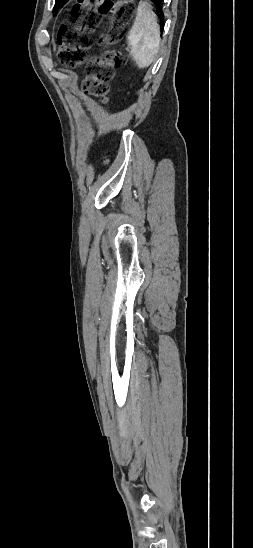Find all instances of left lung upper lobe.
<instances>
[{"label":"left lung upper lobe","mask_w":253,"mask_h":548,"mask_svg":"<svg viewBox=\"0 0 253 548\" xmlns=\"http://www.w3.org/2000/svg\"><path fill=\"white\" fill-rule=\"evenodd\" d=\"M60 2H61V0H56L55 5H57V4L60 3ZM54 7H55V6H54Z\"/></svg>","instance_id":"obj_1"}]
</instances>
